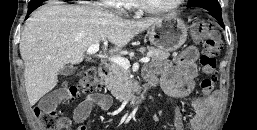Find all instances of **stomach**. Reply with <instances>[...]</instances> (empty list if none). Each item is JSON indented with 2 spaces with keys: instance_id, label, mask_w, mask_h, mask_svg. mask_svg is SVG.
<instances>
[{
  "instance_id": "0dacf381",
  "label": "stomach",
  "mask_w": 257,
  "mask_h": 130,
  "mask_svg": "<svg viewBox=\"0 0 257 130\" xmlns=\"http://www.w3.org/2000/svg\"><path fill=\"white\" fill-rule=\"evenodd\" d=\"M188 28L176 14L165 15L148 29L150 42L159 49L175 51L186 41Z\"/></svg>"
}]
</instances>
